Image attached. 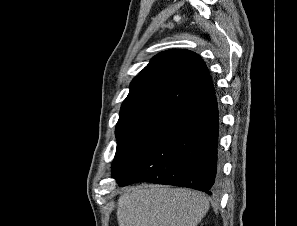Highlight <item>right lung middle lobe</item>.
I'll list each match as a JSON object with an SVG mask.
<instances>
[{"instance_id":"1","label":"right lung middle lobe","mask_w":297,"mask_h":226,"mask_svg":"<svg viewBox=\"0 0 297 226\" xmlns=\"http://www.w3.org/2000/svg\"><path fill=\"white\" fill-rule=\"evenodd\" d=\"M169 119L168 116L150 115L117 123V148L111 170L113 178L118 180L137 162Z\"/></svg>"}]
</instances>
